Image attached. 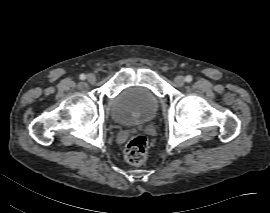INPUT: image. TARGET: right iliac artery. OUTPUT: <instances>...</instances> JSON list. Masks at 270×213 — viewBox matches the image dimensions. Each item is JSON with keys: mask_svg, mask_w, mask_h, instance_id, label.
Masks as SVG:
<instances>
[{"mask_svg": "<svg viewBox=\"0 0 270 213\" xmlns=\"http://www.w3.org/2000/svg\"><path fill=\"white\" fill-rule=\"evenodd\" d=\"M80 79H81V80H85V79H86V75H85V74H81V75H80Z\"/></svg>", "mask_w": 270, "mask_h": 213, "instance_id": "1", "label": "right iliac artery"}]
</instances>
